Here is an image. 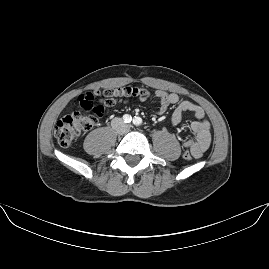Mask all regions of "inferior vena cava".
Returning a JSON list of instances; mask_svg holds the SVG:
<instances>
[{"label": "inferior vena cava", "instance_id": "inferior-vena-cava-1", "mask_svg": "<svg viewBox=\"0 0 269 269\" xmlns=\"http://www.w3.org/2000/svg\"><path fill=\"white\" fill-rule=\"evenodd\" d=\"M127 129H129V125H127Z\"/></svg>", "mask_w": 269, "mask_h": 269}]
</instances>
